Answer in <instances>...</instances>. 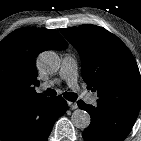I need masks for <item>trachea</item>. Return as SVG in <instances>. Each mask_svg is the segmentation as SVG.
<instances>
[{
    "mask_svg": "<svg viewBox=\"0 0 141 141\" xmlns=\"http://www.w3.org/2000/svg\"><path fill=\"white\" fill-rule=\"evenodd\" d=\"M44 94L46 96H55L57 94V92L54 89L48 88L44 92ZM63 96L69 101H75L78 97L76 93H72V92H65V93H63Z\"/></svg>",
    "mask_w": 141,
    "mask_h": 141,
    "instance_id": "trachea-1",
    "label": "trachea"
}]
</instances>
